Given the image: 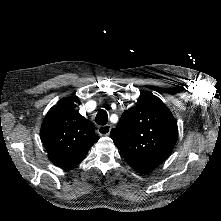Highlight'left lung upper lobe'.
Instances as JSON below:
<instances>
[{
  "mask_svg": "<svg viewBox=\"0 0 221 221\" xmlns=\"http://www.w3.org/2000/svg\"><path fill=\"white\" fill-rule=\"evenodd\" d=\"M178 137L177 122L156 96L144 94L122 114L111 138L126 162L139 173H148L170 155Z\"/></svg>",
  "mask_w": 221,
  "mask_h": 221,
  "instance_id": "5c2ea615",
  "label": "left lung upper lobe"
}]
</instances>
